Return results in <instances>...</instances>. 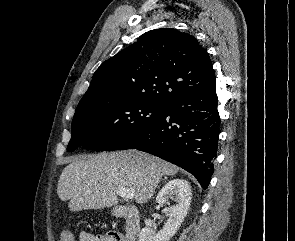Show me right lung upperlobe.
Listing matches in <instances>:
<instances>
[{
  "mask_svg": "<svg viewBox=\"0 0 295 241\" xmlns=\"http://www.w3.org/2000/svg\"><path fill=\"white\" fill-rule=\"evenodd\" d=\"M215 82L207 51L190 34L161 28L141 35L137 42L103 62L83 96L112 93L164 106L182 94Z\"/></svg>",
  "mask_w": 295,
  "mask_h": 241,
  "instance_id": "obj_1",
  "label": "right lung upper lobe"
}]
</instances>
